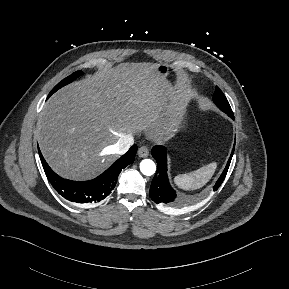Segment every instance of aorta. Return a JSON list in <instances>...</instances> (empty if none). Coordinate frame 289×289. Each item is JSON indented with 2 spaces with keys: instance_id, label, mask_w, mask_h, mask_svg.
I'll list each match as a JSON object with an SVG mask.
<instances>
[{
  "instance_id": "762f6f07",
  "label": "aorta",
  "mask_w": 289,
  "mask_h": 289,
  "mask_svg": "<svg viewBox=\"0 0 289 289\" xmlns=\"http://www.w3.org/2000/svg\"><path fill=\"white\" fill-rule=\"evenodd\" d=\"M140 171L146 176H151L156 171V165L151 159H144L140 163Z\"/></svg>"
}]
</instances>
